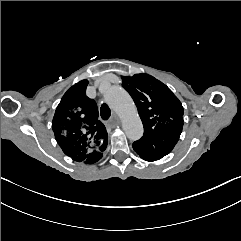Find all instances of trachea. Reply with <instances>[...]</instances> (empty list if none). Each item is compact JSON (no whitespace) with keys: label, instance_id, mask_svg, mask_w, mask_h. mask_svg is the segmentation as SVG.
Returning <instances> with one entry per match:
<instances>
[{"label":"trachea","instance_id":"obj_1","mask_svg":"<svg viewBox=\"0 0 241 241\" xmlns=\"http://www.w3.org/2000/svg\"><path fill=\"white\" fill-rule=\"evenodd\" d=\"M100 115L103 120H108L111 116V110L110 108L106 105L103 104L100 108Z\"/></svg>","mask_w":241,"mask_h":241}]
</instances>
